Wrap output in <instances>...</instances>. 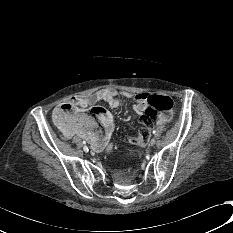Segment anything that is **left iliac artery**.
Instances as JSON below:
<instances>
[{
	"label": "left iliac artery",
	"mask_w": 233,
	"mask_h": 233,
	"mask_svg": "<svg viewBox=\"0 0 233 233\" xmlns=\"http://www.w3.org/2000/svg\"><path fill=\"white\" fill-rule=\"evenodd\" d=\"M153 134H156V130H153Z\"/></svg>",
	"instance_id": "44dca946"
}]
</instances>
